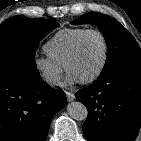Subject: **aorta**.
<instances>
[{"label": "aorta", "instance_id": "762f6f07", "mask_svg": "<svg viewBox=\"0 0 141 141\" xmlns=\"http://www.w3.org/2000/svg\"><path fill=\"white\" fill-rule=\"evenodd\" d=\"M67 112L75 120H85L88 116L86 106L79 101L69 103L67 105Z\"/></svg>", "mask_w": 141, "mask_h": 141}]
</instances>
